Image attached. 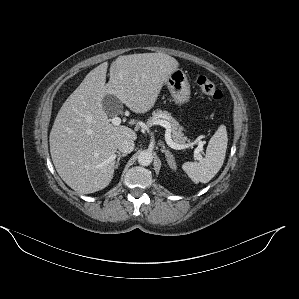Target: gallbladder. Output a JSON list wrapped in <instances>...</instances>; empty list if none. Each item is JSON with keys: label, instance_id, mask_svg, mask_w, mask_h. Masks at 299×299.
<instances>
[{"label": "gallbladder", "instance_id": "gallbladder-1", "mask_svg": "<svg viewBox=\"0 0 299 299\" xmlns=\"http://www.w3.org/2000/svg\"><path fill=\"white\" fill-rule=\"evenodd\" d=\"M102 105L104 111L110 116H115L123 112V104L114 95H106L102 100Z\"/></svg>", "mask_w": 299, "mask_h": 299}]
</instances>
